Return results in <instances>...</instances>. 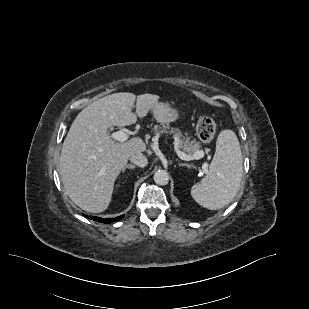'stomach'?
Masks as SVG:
<instances>
[{"instance_id": "obj_1", "label": "stomach", "mask_w": 309, "mask_h": 309, "mask_svg": "<svg viewBox=\"0 0 309 309\" xmlns=\"http://www.w3.org/2000/svg\"><path fill=\"white\" fill-rule=\"evenodd\" d=\"M153 115L157 122L169 124L175 122L180 117V112L172 108L168 103H157L153 108Z\"/></svg>"}]
</instances>
